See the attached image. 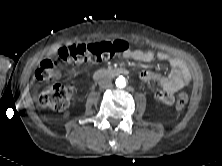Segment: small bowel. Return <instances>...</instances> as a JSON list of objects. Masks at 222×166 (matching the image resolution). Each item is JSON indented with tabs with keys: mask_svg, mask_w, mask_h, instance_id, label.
I'll return each mask as SVG.
<instances>
[{
	"mask_svg": "<svg viewBox=\"0 0 222 166\" xmlns=\"http://www.w3.org/2000/svg\"><path fill=\"white\" fill-rule=\"evenodd\" d=\"M120 56L131 58L139 62H150L155 57L161 61L168 62L171 71L167 77H162L156 73L144 71L141 73V79L144 81L156 82L161 86L155 97L158 101L171 105L174 102V94L187 86L191 80L190 71L186 63L177 57H173L165 52L155 53L151 50H127Z\"/></svg>",
	"mask_w": 222,
	"mask_h": 166,
	"instance_id": "small-bowel-1",
	"label": "small bowel"
}]
</instances>
